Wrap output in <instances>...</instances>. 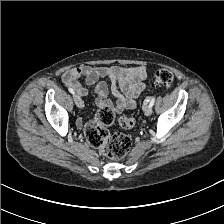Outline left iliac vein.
<instances>
[{
	"label": "left iliac vein",
	"mask_w": 224,
	"mask_h": 224,
	"mask_svg": "<svg viewBox=\"0 0 224 224\" xmlns=\"http://www.w3.org/2000/svg\"><path fill=\"white\" fill-rule=\"evenodd\" d=\"M144 114L150 116L152 114V105L148 104L144 107Z\"/></svg>",
	"instance_id": "obj_1"
}]
</instances>
